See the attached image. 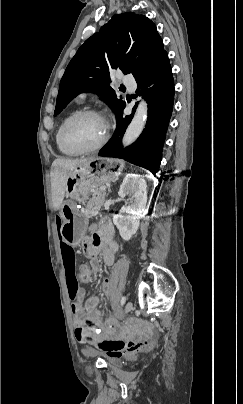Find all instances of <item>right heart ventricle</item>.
<instances>
[{"label":"right heart ventricle","mask_w":243,"mask_h":404,"mask_svg":"<svg viewBox=\"0 0 243 404\" xmlns=\"http://www.w3.org/2000/svg\"><path fill=\"white\" fill-rule=\"evenodd\" d=\"M72 113H73V111L68 112L67 114H65V115L62 117L60 123L58 124V126H57V128H56V130H55V132H54V142H55V145H56L58 151H59L62 155L75 157V156H79L81 153H80L79 151H77V150H74V149H72V148L66 146V145L62 142L61 137H60V129H61V126H62L63 122L65 121V119H66L70 114H72Z\"/></svg>","instance_id":"e07e8e85"}]
</instances>
